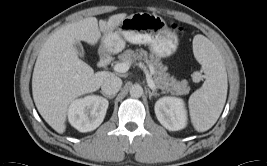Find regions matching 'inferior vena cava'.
Here are the masks:
<instances>
[{
  "mask_svg": "<svg viewBox=\"0 0 267 166\" xmlns=\"http://www.w3.org/2000/svg\"><path fill=\"white\" fill-rule=\"evenodd\" d=\"M122 86V80L112 75L104 80V82L101 85V90L105 95H115Z\"/></svg>",
  "mask_w": 267,
  "mask_h": 166,
  "instance_id": "inferior-vena-cava-1",
  "label": "inferior vena cava"
}]
</instances>
